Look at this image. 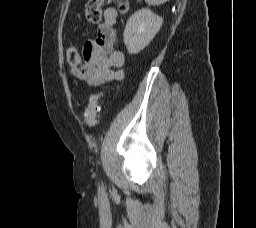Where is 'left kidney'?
<instances>
[{"label": "left kidney", "mask_w": 256, "mask_h": 228, "mask_svg": "<svg viewBox=\"0 0 256 228\" xmlns=\"http://www.w3.org/2000/svg\"><path fill=\"white\" fill-rule=\"evenodd\" d=\"M163 18L144 8L135 12L127 21L124 43L130 54L143 50L160 30Z\"/></svg>", "instance_id": "left-kidney-1"}]
</instances>
